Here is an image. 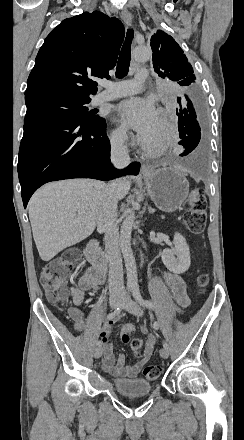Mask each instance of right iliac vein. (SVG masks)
Returning <instances> with one entry per match:
<instances>
[{
    "label": "right iliac vein",
    "instance_id": "1",
    "mask_svg": "<svg viewBox=\"0 0 244 440\" xmlns=\"http://www.w3.org/2000/svg\"><path fill=\"white\" fill-rule=\"evenodd\" d=\"M109 303L110 306L112 308L117 307L118 305H121L122 303V299H120L118 296L116 295H110L109 297ZM103 354V348L102 347H97L96 350L94 351V357L96 359L100 358Z\"/></svg>",
    "mask_w": 244,
    "mask_h": 440
}]
</instances>
